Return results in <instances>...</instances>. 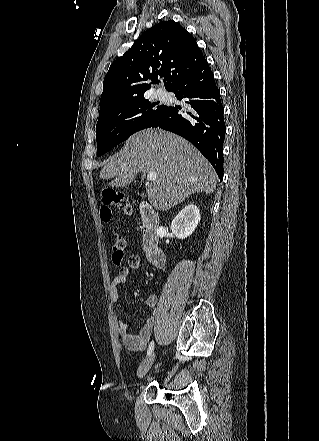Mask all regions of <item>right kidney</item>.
<instances>
[{"mask_svg": "<svg viewBox=\"0 0 319 441\" xmlns=\"http://www.w3.org/2000/svg\"><path fill=\"white\" fill-rule=\"evenodd\" d=\"M200 221V211L195 204L185 206L173 219L171 230L178 239H185L196 229Z\"/></svg>", "mask_w": 319, "mask_h": 441, "instance_id": "obj_1", "label": "right kidney"}]
</instances>
